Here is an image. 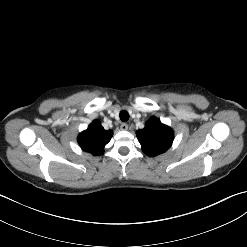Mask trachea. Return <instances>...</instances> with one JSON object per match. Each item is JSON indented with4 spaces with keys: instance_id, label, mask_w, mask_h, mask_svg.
<instances>
[{
    "instance_id": "obj_1",
    "label": "trachea",
    "mask_w": 247,
    "mask_h": 247,
    "mask_svg": "<svg viewBox=\"0 0 247 247\" xmlns=\"http://www.w3.org/2000/svg\"><path fill=\"white\" fill-rule=\"evenodd\" d=\"M119 116L122 122H126L129 119V113L126 110H122Z\"/></svg>"
}]
</instances>
